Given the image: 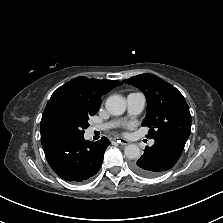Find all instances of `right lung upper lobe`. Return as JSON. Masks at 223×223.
Returning a JSON list of instances; mask_svg holds the SVG:
<instances>
[{
    "label": "right lung upper lobe",
    "instance_id": "1",
    "mask_svg": "<svg viewBox=\"0 0 223 223\" xmlns=\"http://www.w3.org/2000/svg\"><path fill=\"white\" fill-rule=\"evenodd\" d=\"M122 83L116 80L88 79L77 77L59 87L49 99L41 119L42 145L59 138L55 133L53 120L56 114L66 107H78L97 112L101 97Z\"/></svg>",
    "mask_w": 223,
    "mask_h": 223
}]
</instances>
